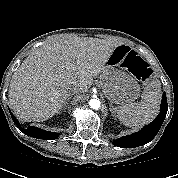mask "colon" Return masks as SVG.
<instances>
[{"label":"colon","instance_id":"1","mask_svg":"<svg viewBox=\"0 0 178 178\" xmlns=\"http://www.w3.org/2000/svg\"><path fill=\"white\" fill-rule=\"evenodd\" d=\"M130 71L142 82H148L151 78L150 68L142 59L135 60Z\"/></svg>","mask_w":178,"mask_h":178}]
</instances>
